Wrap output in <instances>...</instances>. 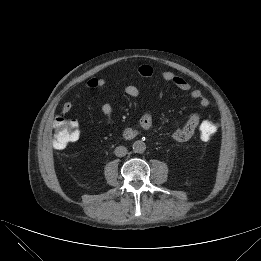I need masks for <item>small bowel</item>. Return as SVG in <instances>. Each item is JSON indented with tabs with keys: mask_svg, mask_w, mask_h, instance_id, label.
<instances>
[{
	"mask_svg": "<svg viewBox=\"0 0 261 261\" xmlns=\"http://www.w3.org/2000/svg\"><path fill=\"white\" fill-rule=\"evenodd\" d=\"M138 73L144 77H149L153 74V69L149 65H141L138 67ZM162 79L173 83L182 91H188L191 98L198 101L199 105L202 107H207L209 105V100L203 96L202 92L198 89H192L191 84L183 77L175 74L171 71H165L162 73ZM106 84V80L103 77H92L90 78L86 86L90 89L102 88ZM125 93L130 97H138L140 94L139 89L134 85H127L124 87ZM73 107L72 102H66L62 107V113L67 114L71 111ZM100 111L105 116H110L112 113V106L109 103H103L100 105ZM78 126L77 122H75ZM153 124L152 114L150 111H145L140 120L139 127H127L123 130V137L125 139H133L143 132H147L151 129ZM201 126V119L199 114H193L187 122L175 129L172 132V139L176 142H184L189 140L195 133L196 129Z\"/></svg>",
	"mask_w": 261,
	"mask_h": 261,
	"instance_id": "1",
	"label": "small bowel"
}]
</instances>
